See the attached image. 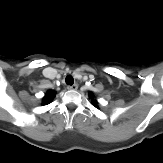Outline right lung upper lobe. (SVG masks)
Returning <instances> with one entry per match:
<instances>
[{
    "label": "right lung upper lobe",
    "mask_w": 163,
    "mask_h": 163,
    "mask_svg": "<svg viewBox=\"0 0 163 163\" xmlns=\"http://www.w3.org/2000/svg\"><path fill=\"white\" fill-rule=\"evenodd\" d=\"M54 96H55V91H52V90L48 91L44 97V101L42 104L43 105L49 104L52 101V99L54 98Z\"/></svg>",
    "instance_id": "obj_1"
}]
</instances>
